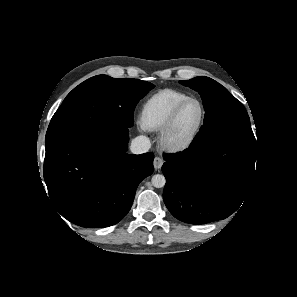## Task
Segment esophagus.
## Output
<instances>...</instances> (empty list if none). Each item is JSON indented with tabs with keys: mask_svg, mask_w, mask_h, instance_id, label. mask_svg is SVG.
I'll list each match as a JSON object with an SVG mask.
<instances>
[{
	"mask_svg": "<svg viewBox=\"0 0 297 297\" xmlns=\"http://www.w3.org/2000/svg\"><path fill=\"white\" fill-rule=\"evenodd\" d=\"M163 163H164V160L162 157L157 156L154 158L153 164H154L155 169H160L162 167Z\"/></svg>",
	"mask_w": 297,
	"mask_h": 297,
	"instance_id": "obj_1",
	"label": "esophagus"
}]
</instances>
